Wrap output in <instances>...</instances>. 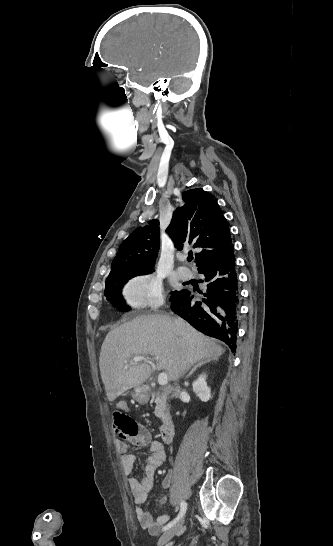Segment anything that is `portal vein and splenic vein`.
Returning a JSON list of instances; mask_svg holds the SVG:
<instances>
[{"instance_id": "obj_1", "label": "portal vein and splenic vein", "mask_w": 333, "mask_h": 546, "mask_svg": "<svg viewBox=\"0 0 333 546\" xmlns=\"http://www.w3.org/2000/svg\"><path fill=\"white\" fill-rule=\"evenodd\" d=\"M151 358L146 356H134L132 362H149ZM127 363V362H126ZM127 367V366H126ZM158 383L161 386H165L168 383V376L165 372H161L158 375Z\"/></svg>"}]
</instances>
